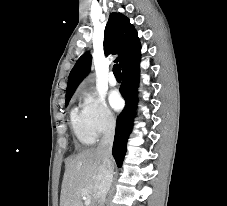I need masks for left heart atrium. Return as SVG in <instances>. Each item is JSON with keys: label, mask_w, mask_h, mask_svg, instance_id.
<instances>
[{"label": "left heart atrium", "mask_w": 227, "mask_h": 206, "mask_svg": "<svg viewBox=\"0 0 227 206\" xmlns=\"http://www.w3.org/2000/svg\"><path fill=\"white\" fill-rule=\"evenodd\" d=\"M109 102L115 110H119L123 105V100L117 91L110 93Z\"/></svg>", "instance_id": "1"}]
</instances>
